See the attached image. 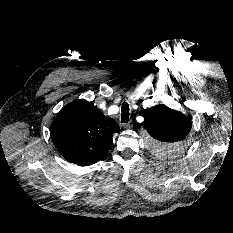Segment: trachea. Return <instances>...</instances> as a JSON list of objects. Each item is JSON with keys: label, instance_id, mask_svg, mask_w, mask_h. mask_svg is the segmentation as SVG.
<instances>
[{"label": "trachea", "instance_id": "1", "mask_svg": "<svg viewBox=\"0 0 233 233\" xmlns=\"http://www.w3.org/2000/svg\"><path fill=\"white\" fill-rule=\"evenodd\" d=\"M129 120V105L127 102H123L121 107V123H127Z\"/></svg>", "mask_w": 233, "mask_h": 233}]
</instances>
